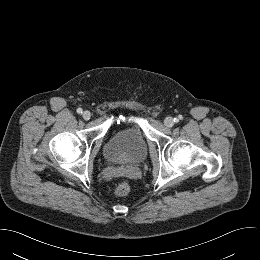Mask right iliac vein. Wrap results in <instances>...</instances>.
<instances>
[{"label":"right iliac vein","mask_w":260,"mask_h":260,"mask_svg":"<svg viewBox=\"0 0 260 260\" xmlns=\"http://www.w3.org/2000/svg\"><path fill=\"white\" fill-rule=\"evenodd\" d=\"M83 119L89 120L91 117V113L89 111H84L82 114Z\"/></svg>","instance_id":"1"}]
</instances>
